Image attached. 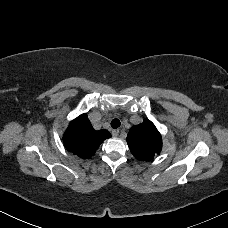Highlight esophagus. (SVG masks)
Here are the masks:
<instances>
[{
    "mask_svg": "<svg viewBox=\"0 0 228 228\" xmlns=\"http://www.w3.org/2000/svg\"><path fill=\"white\" fill-rule=\"evenodd\" d=\"M112 135H113L114 137H118V135H119V130H117V129L112 130Z\"/></svg>",
    "mask_w": 228,
    "mask_h": 228,
    "instance_id": "34e87169",
    "label": "esophagus"
}]
</instances>
